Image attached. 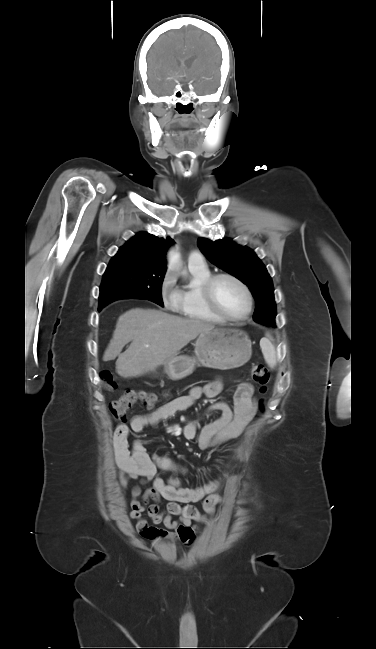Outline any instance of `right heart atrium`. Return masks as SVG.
<instances>
[{"label": "right heart atrium", "mask_w": 376, "mask_h": 649, "mask_svg": "<svg viewBox=\"0 0 376 649\" xmlns=\"http://www.w3.org/2000/svg\"><path fill=\"white\" fill-rule=\"evenodd\" d=\"M160 297L166 308L171 310L176 309L179 302V294L175 287V275L172 271H166L161 279Z\"/></svg>", "instance_id": "right-heart-atrium-1"}]
</instances>
